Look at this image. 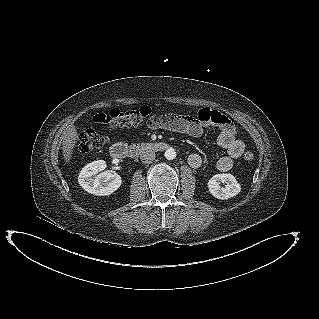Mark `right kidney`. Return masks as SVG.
Listing matches in <instances>:
<instances>
[{
    "label": "right kidney",
    "instance_id": "obj_1",
    "mask_svg": "<svg viewBox=\"0 0 319 319\" xmlns=\"http://www.w3.org/2000/svg\"><path fill=\"white\" fill-rule=\"evenodd\" d=\"M106 166L104 160L93 161L84 166L78 176L80 186L96 196H108L114 193L121 186L122 180L117 173L102 172Z\"/></svg>",
    "mask_w": 319,
    "mask_h": 319
}]
</instances>
